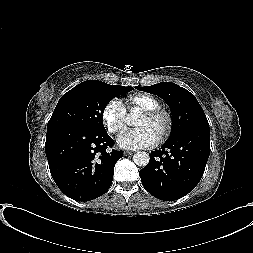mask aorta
<instances>
[{
    "label": "aorta",
    "mask_w": 253,
    "mask_h": 253,
    "mask_svg": "<svg viewBox=\"0 0 253 253\" xmlns=\"http://www.w3.org/2000/svg\"><path fill=\"white\" fill-rule=\"evenodd\" d=\"M149 160H150V157L146 152H136L133 155V161L139 167L147 166L149 163Z\"/></svg>",
    "instance_id": "762f6f07"
}]
</instances>
